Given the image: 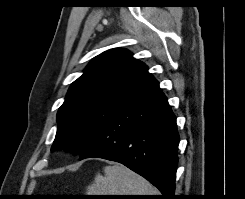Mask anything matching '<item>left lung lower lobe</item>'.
Instances as JSON below:
<instances>
[{
	"label": "left lung lower lobe",
	"instance_id": "left-lung-lower-lobe-1",
	"mask_svg": "<svg viewBox=\"0 0 245 199\" xmlns=\"http://www.w3.org/2000/svg\"><path fill=\"white\" fill-rule=\"evenodd\" d=\"M178 143L176 117L154 80L102 126L80 160L119 162L157 187L162 199H173Z\"/></svg>",
	"mask_w": 245,
	"mask_h": 199
}]
</instances>
